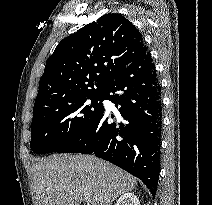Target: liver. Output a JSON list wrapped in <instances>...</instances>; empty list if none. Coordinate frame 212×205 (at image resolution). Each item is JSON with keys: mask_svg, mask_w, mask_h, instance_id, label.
<instances>
[{"mask_svg": "<svg viewBox=\"0 0 212 205\" xmlns=\"http://www.w3.org/2000/svg\"><path fill=\"white\" fill-rule=\"evenodd\" d=\"M37 205H111L132 191L135 177L93 155H54L32 167Z\"/></svg>", "mask_w": 212, "mask_h": 205, "instance_id": "6515ba94", "label": "liver"}]
</instances>
